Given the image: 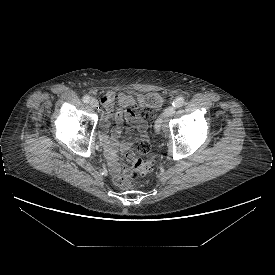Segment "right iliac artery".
<instances>
[{"label":"right iliac artery","mask_w":275,"mask_h":275,"mask_svg":"<svg viewBox=\"0 0 275 275\" xmlns=\"http://www.w3.org/2000/svg\"><path fill=\"white\" fill-rule=\"evenodd\" d=\"M89 101H90V97H89L88 95H85V96L83 97V102H84V103H89Z\"/></svg>","instance_id":"82829eb1"}]
</instances>
